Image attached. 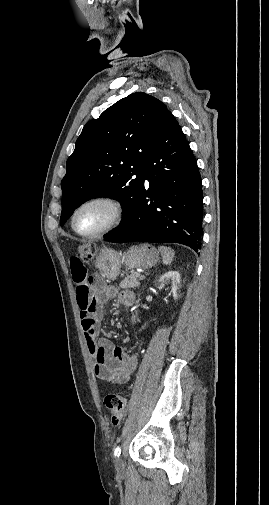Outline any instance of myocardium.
Returning a JSON list of instances; mask_svg holds the SVG:
<instances>
[{
  "label": "myocardium",
  "mask_w": 269,
  "mask_h": 505,
  "mask_svg": "<svg viewBox=\"0 0 269 505\" xmlns=\"http://www.w3.org/2000/svg\"><path fill=\"white\" fill-rule=\"evenodd\" d=\"M93 203H105L110 205L114 211L113 218L106 226H104L102 229L96 232L82 233L75 226L76 216L82 208ZM124 217H125V208L123 203L118 198L111 195H96L86 199L76 207L71 217V228L77 235L81 237L96 238L108 233L109 231L119 226L122 223Z\"/></svg>",
  "instance_id": "myocardium-1"
}]
</instances>
